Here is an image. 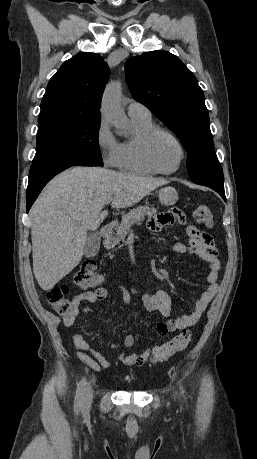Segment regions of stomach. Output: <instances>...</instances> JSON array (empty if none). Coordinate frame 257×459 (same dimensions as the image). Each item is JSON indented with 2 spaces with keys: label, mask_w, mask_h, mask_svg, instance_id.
Segmentation results:
<instances>
[{
  "label": "stomach",
  "mask_w": 257,
  "mask_h": 459,
  "mask_svg": "<svg viewBox=\"0 0 257 459\" xmlns=\"http://www.w3.org/2000/svg\"><path fill=\"white\" fill-rule=\"evenodd\" d=\"M178 200L175 188L167 186L159 190V201L162 205H174Z\"/></svg>",
  "instance_id": "1"
}]
</instances>
